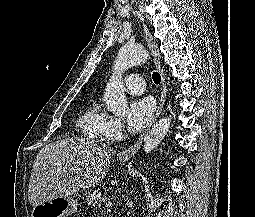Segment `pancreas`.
Segmentation results:
<instances>
[{
	"label": "pancreas",
	"instance_id": "obj_1",
	"mask_svg": "<svg viewBox=\"0 0 255 217\" xmlns=\"http://www.w3.org/2000/svg\"><path fill=\"white\" fill-rule=\"evenodd\" d=\"M101 192L99 190H95L93 191V193H90L87 197H86V201L88 203V205L90 206H95V205H101Z\"/></svg>",
	"mask_w": 255,
	"mask_h": 217
}]
</instances>
